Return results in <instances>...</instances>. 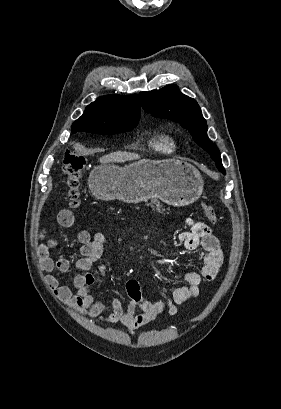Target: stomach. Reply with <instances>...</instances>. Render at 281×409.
<instances>
[{
  "label": "stomach",
  "instance_id": "stomach-1",
  "mask_svg": "<svg viewBox=\"0 0 281 409\" xmlns=\"http://www.w3.org/2000/svg\"><path fill=\"white\" fill-rule=\"evenodd\" d=\"M89 188L100 200L141 202L161 198L172 207H186L200 198L203 178L186 160L142 158L132 164H100L88 176Z\"/></svg>",
  "mask_w": 281,
  "mask_h": 409
}]
</instances>
